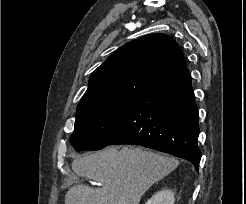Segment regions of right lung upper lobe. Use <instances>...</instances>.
<instances>
[{
    "mask_svg": "<svg viewBox=\"0 0 246 204\" xmlns=\"http://www.w3.org/2000/svg\"><path fill=\"white\" fill-rule=\"evenodd\" d=\"M186 70L178 44L168 35L150 34L114 51L89 79L80 103L140 96Z\"/></svg>",
    "mask_w": 246,
    "mask_h": 204,
    "instance_id": "cb5924a9",
    "label": "right lung upper lobe"
}]
</instances>
